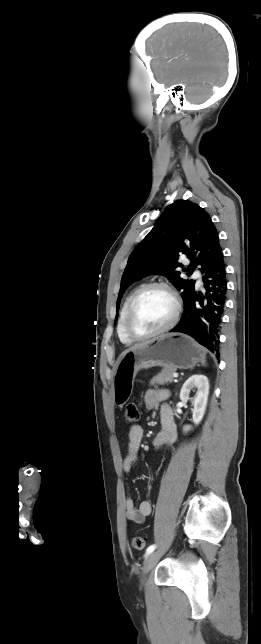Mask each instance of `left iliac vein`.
I'll list each match as a JSON object with an SVG mask.
<instances>
[{"instance_id": "4c4485c4", "label": "left iliac vein", "mask_w": 261, "mask_h": 644, "mask_svg": "<svg viewBox=\"0 0 261 644\" xmlns=\"http://www.w3.org/2000/svg\"><path fill=\"white\" fill-rule=\"evenodd\" d=\"M160 557H161V552L160 551L151 552L146 557L145 562H144V566H143V569H142L143 579L155 567V565L159 561Z\"/></svg>"}]
</instances>
